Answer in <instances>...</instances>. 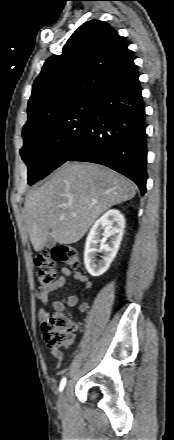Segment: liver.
Returning a JSON list of instances; mask_svg holds the SVG:
<instances>
[{"label":"liver","mask_w":174,"mask_h":440,"mask_svg":"<svg viewBox=\"0 0 174 440\" xmlns=\"http://www.w3.org/2000/svg\"><path fill=\"white\" fill-rule=\"evenodd\" d=\"M135 185L107 167L66 162L24 203V220L35 251L51 233L59 244L79 241L110 207L132 199Z\"/></svg>","instance_id":"obj_1"}]
</instances>
